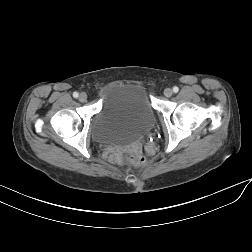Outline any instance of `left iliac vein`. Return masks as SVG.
<instances>
[{
    "label": "left iliac vein",
    "mask_w": 252,
    "mask_h": 252,
    "mask_svg": "<svg viewBox=\"0 0 252 252\" xmlns=\"http://www.w3.org/2000/svg\"><path fill=\"white\" fill-rule=\"evenodd\" d=\"M172 94H173L172 89L166 88V89L164 90V95H165L166 97H171Z\"/></svg>",
    "instance_id": "obj_1"
}]
</instances>
